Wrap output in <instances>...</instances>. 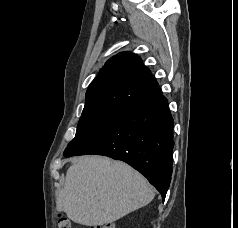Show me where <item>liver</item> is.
<instances>
[{
    "mask_svg": "<svg viewBox=\"0 0 238 228\" xmlns=\"http://www.w3.org/2000/svg\"><path fill=\"white\" fill-rule=\"evenodd\" d=\"M154 196L147 180L126 163L85 156L68 168L56 208L75 223L101 226L149 204Z\"/></svg>",
    "mask_w": 238,
    "mask_h": 228,
    "instance_id": "liver-1",
    "label": "liver"
}]
</instances>
